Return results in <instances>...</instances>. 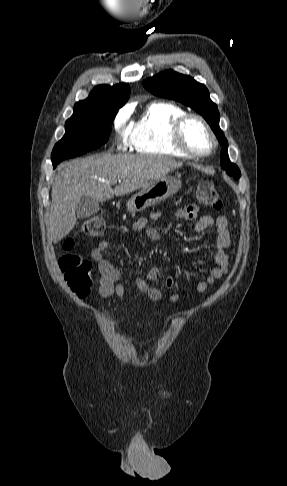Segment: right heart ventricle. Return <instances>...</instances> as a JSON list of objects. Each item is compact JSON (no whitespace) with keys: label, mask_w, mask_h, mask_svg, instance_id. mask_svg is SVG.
Returning a JSON list of instances; mask_svg holds the SVG:
<instances>
[{"label":"right heart ventricle","mask_w":287,"mask_h":486,"mask_svg":"<svg viewBox=\"0 0 287 486\" xmlns=\"http://www.w3.org/2000/svg\"><path fill=\"white\" fill-rule=\"evenodd\" d=\"M184 114L174 103H150L126 131L130 146L140 154L186 158L172 141L173 125Z\"/></svg>","instance_id":"e07e8e85"}]
</instances>
